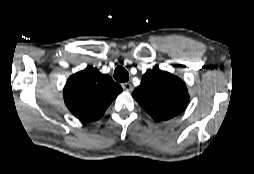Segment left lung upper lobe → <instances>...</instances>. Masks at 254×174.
<instances>
[{
	"mask_svg": "<svg viewBox=\"0 0 254 174\" xmlns=\"http://www.w3.org/2000/svg\"><path fill=\"white\" fill-rule=\"evenodd\" d=\"M132 96L157 122L180 114L189 102L185 83L171 73L148 70Z\"/></svg>",
	"mask_w": 254,
	"mask_h": 174,
	"instance_id": "5c2ea615",
	"label": "left lung upper lobe"
}]
</instances>
